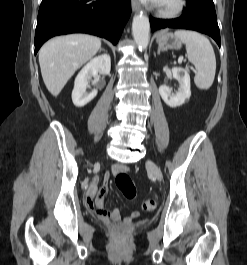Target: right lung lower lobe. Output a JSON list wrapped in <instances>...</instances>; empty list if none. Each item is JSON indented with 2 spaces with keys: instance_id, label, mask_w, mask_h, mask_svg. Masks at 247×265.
<instances>
[{
  "instance_id": "98d812e1",
  "label": "right lung lower lobe",
  "mask_w": 247,
  "mask_h": 265,
  "mask_svg": "<svg viewBox=\"0 0 247 265\" xmlns=\"http://www.w3.org/2000/svg\"><path fill=\"white\" fill-rule=\"evenodd\" d=\"M131 13V0H42L35 31V54L49 38L89 33L117 44Z\"/></svg>"
}]
</instances>
